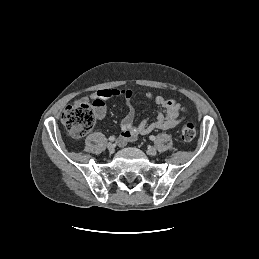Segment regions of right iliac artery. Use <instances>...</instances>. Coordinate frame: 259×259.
Wrapping results in <instances>:
<instances>
[{
    "label": "right iliac artery",
    "instance_id": "1",
    "mask_svg": "<svg viewBox=\"0 0 259 259\" xmlns=\"http://www.w3.org/2000/svg\"><path fill=\"white\" fill-rule=\"evenodd\" d=\"M108 139H109V141L113 142L115 140V137L114 136H110Z\"/></svg>",
    "mask_w": 259,
    "mask_h": 259
}]
</instances>
